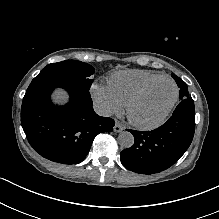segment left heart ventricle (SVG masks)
<instances>
[{
	"label": "left heart ventricle",
	"instance_id": "b2bd125f",
	"mask_svg": "<svg viewBox=\"0 0 219 219\" xmlns=\"http://www.w3.org/2000/svg\"><path fill=\"white\" fill-rule=\"evenodd\" d=\"M174 92L171 82H159L134 108L133 116L141 121L155 120L172 100Z\"/></svg>",
	"mask_w": 219,
	"mask_h": 219
}]
</instances>
